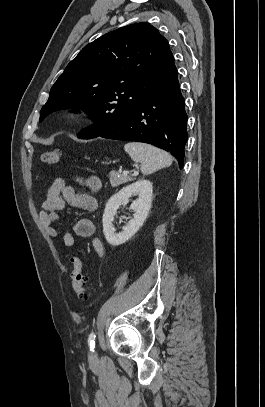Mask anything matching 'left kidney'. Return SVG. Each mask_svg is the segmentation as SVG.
I'll use <instances>...</instances> for the list:
<instances>
[{"mask_svg": "<svg viewBox=\"0 0 265 407\" xmlns=\"http://www.w3.org/2000/svg\"><path fill=\"white\" fill-rule=\"evenodd\" d=\"M153 185L149 180L141 179L114 194L107 202L103 214V232L107 242L119 246L128 241L140 229L146 220L152 203ZM138 195L130 208L135 212L133 218L127 223L120 233H115L112 222L121 205H126L131 196Z\"/></svg>", "mask_w": 265, "mask_h": 407, "instance_id": "1", "label": "left kidney"}]
</instances>
